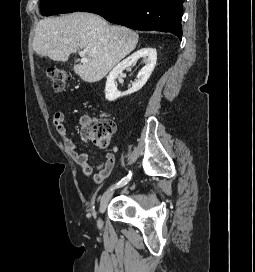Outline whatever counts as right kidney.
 Returning <instances> with one entry per match:
<instances>
[{
    "label": "right kidney",
    "instance_id": "ca27d5eb",
    "mask_svg": "<svg viewBox=\"0 0 255 272\" xmlns=\"http://www.w3.org/2000/svg\"><path fill=\"white\" fill-rule=\"evenodd\" d=\"M139 58H143V61L145 62L146 65L139 71L137 79L135 80L134 83H132V87L125 92L122 93L119 92L117 90V84L115 82V79L118 77L119 74L122 73V71L125 68L130 67ZM156 61H157L156 49L150 47L142 48L134 52L126 59H124L116 67L113 68V70L109 73L107 77L105 86V98L108 101H114L121 96H125L139 91L149 79L156 65Z\"/></svg>",
    "mask_w": 255,
    "mask_h": 272
}]
</instances>
